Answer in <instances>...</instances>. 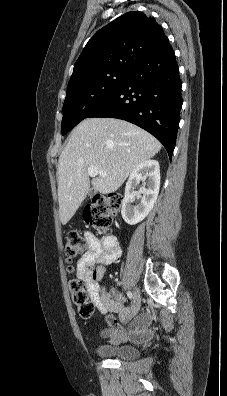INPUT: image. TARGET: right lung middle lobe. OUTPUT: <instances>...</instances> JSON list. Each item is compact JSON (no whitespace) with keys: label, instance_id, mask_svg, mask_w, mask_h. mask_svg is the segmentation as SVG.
Listing matches in <instances>:
<instances>
[{"label":"right lung middle lobe","instance_id":"right-lung-middle-lobe-1","mask_svg":"<svg viewBox=\"0 0 227 396\" xmlns=\"http://www.w3.org/2000/svg\"><path fill=\"white\" fill-rule=\"evenodd\" d=\"M130 72L131 70H110L68 87L63 105L62 135L113 95L126 81Z\"/></svg>","mask_w":227,"mask_h":396}]
</instances>
